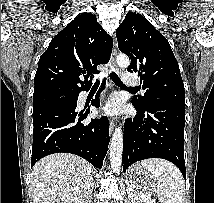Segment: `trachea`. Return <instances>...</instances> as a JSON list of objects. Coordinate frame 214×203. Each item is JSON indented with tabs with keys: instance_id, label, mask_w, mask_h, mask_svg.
Here are the masks:
<instances>
[{
	"instance_id": "obj_1",
	"label": "trachea",
	"mask_w": 214,
	"mask_h": 203,
	"mask_svg": "<svg viewBox=\"0 0 214 203\" xmlns=\"http://www.w3.org/2000/svg\"><path fill=\"white\" fill-rule=\"evenodd\" d=\"M110 77H111L112 81H113L116 85H118V86H120V87L127 88V87L123 84V82L120 80V78L116 75L115 72H111V73H110ZM99 84H100V81H99V79H97L96 82H95V84H94V86H98ZM129 89L134 90V91L137 90V89H135V88H129Z\"/></svg>"
}]
</instances>
